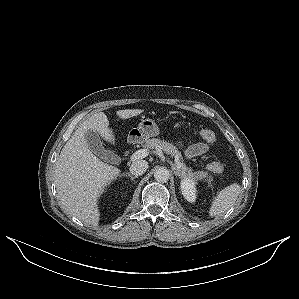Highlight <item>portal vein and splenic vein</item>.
Segmentation results:
<instances>
[{
	"label": "portal vein and splenic vein",
	"instance_id": "obj_1",
	"mask_svg": "<svg viewBox=\"0 0 299 299\" xmlns=\"http://www.w3.org/2000/svg\"><path fill=\"white\" fill-rule=\"evenodd\" d=\"M148 154H149V152L147 149H140L131 155L130 160L135 161L138 159H142V158H145ZM176 167L178 169L181 168V163L179 161L176 162Z\"/></svg>",
	"mask_w": 299,
	"mask_h": 299
}]
</instances>
